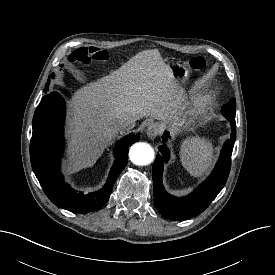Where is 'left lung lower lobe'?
Segmentation results:
<instances>
[{
    "label": "left lung lower lobe",
    "instance_id": "obj_1",
    "mask_svg": "<svg viewBox=\"0 0 275 275\" xmlns=\"http://www.w3.org/2000/svg\"><path fill=\"white\" fill-rule=\"evenodd\" d=\"M231 137L225 143L220 158L209 178L206 179L190 195L178 198L166 192L162 185L164 164L168 162L170 154L165 145L159 146L152 168L154 203L161 215L172 220L192 218L203 212L224 187L231 167V155L236 139V123L231 122ZM169 138V132H164L163 143Z\"/></svg>",
    "mask_w": 275,
    "mask_h": 275
}]
</instances>
